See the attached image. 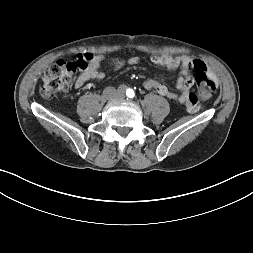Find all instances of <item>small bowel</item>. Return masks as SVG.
Wrapping results in <instances>:
<instances>
[{"instance_id": "1", "label": "small bowel", "mask_w": 253, "mask_h": 253, "mask_svg": "<svg viewBox=\"0 0 253 253\" xmlns=\"http://www.w3.org/2000/svg\"><path fill=\"white\" fill-rule=\"evenodd\" d=\"M91 55L92 58L89 61L87 69L75 81V87L78 89L83 87L90 79L101 80L105 76L104 72L100 70L104 56L102 54ZM139 62L140 59L137 56H132L128 59L129 65H137ZM151 62L154 65L162 66L169 70L180 69L181 76L176 81V88L180 94L172 92L165 84L153 78H149L144 82L145 89L154 90L165 98L186 103V111L189 114L200 112L203 109V102L199 99L198 94L190 92V88L194 83L188 76L193 62L190 58L186 56L172 57L168 55H155L151 57ZM114 66L119 69L123 66V63L116 61Z\"/></svg>"}]
</instances>
